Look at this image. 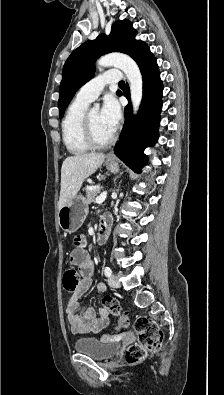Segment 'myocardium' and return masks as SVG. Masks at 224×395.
I'll return each instance as SVG.
<instances>
[{"mask_svg": "<svg viewBox=\"0 0 224 395\" xmlns=\"http://www.w3.org/2000/svg\"><path fill=\"white\" fill-rule=\"evenodd\" d=\"M82 132H83V137H84L86 143L89 145V147L94 148V149L105 148V147L109 146L116 138V135L113 132V134L105 141H98L96 139V137L94 136L91 121H90V111H86L83 116Z\"/></svg>", "mask_w": 224, "mask_h": 395, "instance_id": "f54148a6", "label": "myocardium"}]
</instances>
